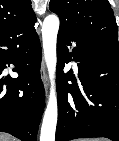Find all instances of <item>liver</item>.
I'll list each match as a JSON object with an SVG mask.
<instances>
[{"label":"liver","instance_id":"6515ba94","mask_svg":"<svg viewBox=\"0 0 119 141\" xmlns=\"http://www.w3.org/2000/svg\"><path fill=\"white\" fill-rule=\"evenodd\" d=\"M0 141H15V139L8 134L0 133Z\"/></svg>","mask_w":119,"mask_h":141}]
</instances>
